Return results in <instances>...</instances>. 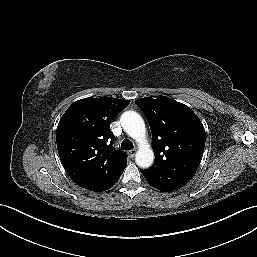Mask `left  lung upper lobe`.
<instances>
[{
  "label": "left lung upper lobe",
  "mask_w": 257,
  "mask_h": 257,
  "mask_svg": "<svg viewBox=\"0 0 257 257\" xmlns=\"http://www.w3.org/2000/svg\"><path fill=\"white\" fill-rule=\"evenodd\" d=\"M152 132L155 161L149 169H170L193 177L202 160L206 134L186 105L165 96L135 100Z\"/></svg>",
  "instance_id": "obj_1"
}]
</instances>
